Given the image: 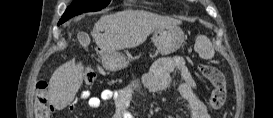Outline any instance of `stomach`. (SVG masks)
<instances>
[{
  "instance_id": "0dacf381",
  "label": "stomach",
  "mask_w": 273,
  "mask_h": 118,
  "mask_svg": "<svg viewBox=\"0 0 273 118\" xmlns=\"http://www.w3.org/2000/svg\"><path fill=\"white\" fill-rule=\"evenodd\" d=\"M185 40L183 30L178 26L159 27L153 31L152 41L162 55H168L178 50ZM102 64L109 71H118L127 67L129 61L118 52H103L101 55Z\"/></svg>"
}]
</instances>
